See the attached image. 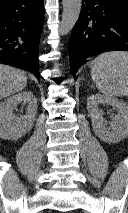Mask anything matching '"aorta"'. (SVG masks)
I'll use <instances>...</instances> for the list:
<instances>
[{
  "label": "aorta",
  "mask_w": 128,
  "mask_h": 213,
  "mask_svg": "<svg viewBox=\"0 0 128 213\" xmlns=\"http://www.w3.org/2000/svg\"><path fill=\"white\" fill-rule=\"evenodd\" d=\"M63 13L59 27L60 35H67L75 26L81 12L82 0H62Z\"/></svg>",
  "instance_id": "obj_1"
}]
</instances>
